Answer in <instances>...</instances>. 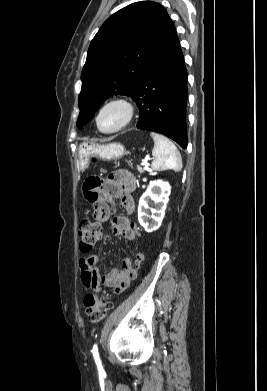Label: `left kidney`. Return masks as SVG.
Returning a JSON list of instances; mask_svg holds the SVG:
<instances>
[{"label":"left kidney","mask_w":267,"mask_h":391,"mask_svg":"<svg viewBox=\"0 0 267 391\" xmlns=\"http://www.w3.org/2000/svg\"><path fill=\"white\" fill-rule=\"evenodd\" d=\"M170 193L169 183L157 180L150 182L147 190L140 197L138 221L145 231L152 232L161 226ZM150 204L155 205V208H150Z\"/></svg>","instance_id":"left-kidney-1"}]
</instances>
